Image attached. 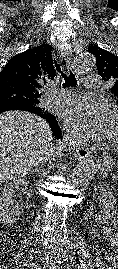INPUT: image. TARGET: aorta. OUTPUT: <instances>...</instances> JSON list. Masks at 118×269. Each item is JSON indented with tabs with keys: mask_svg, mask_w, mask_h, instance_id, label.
I'll use <instances>...</instances> for the list:
<instances>
[{
	"mask_svg": "<svg viewBox=\"0 0 118 269\" xmlns=\"http://www.w3.org/2000/svg\"><path fill=\"white\" fill-rule=\"evenodd\" d=\"M95 67V57L90 53H81L76 58V70L78 73H86ZM95 173V165L92 160L84 161L76 166L72 173L74 182L89 179Z\"/></svg>",
	"mask_w": 118,
	"mask_h": 269,
	"instance_id": "obj_1",
	"label": "aorta"
}]
</instances>
